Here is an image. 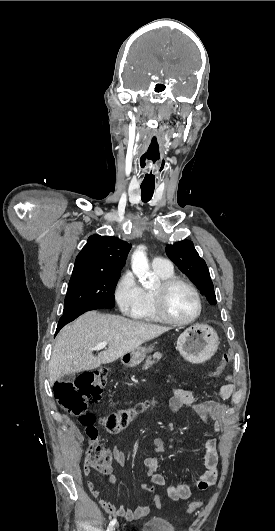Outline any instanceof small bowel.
<instances>
[{
	"instance_id": "obj_1",
	"label": "small bowel",
	"mask_w": 275,
	"mask_h": 531,
	"mask_svg": "<svg viewBox=\"0 0 275 531\" xmlns=\"http://www.w3.org/2000/svg\"><path fill=\"white\" fill-rule=\"evenodd\" d=\"M234 392V383L232 376H227L226 383L215 390V397L219 400L229 399ZM202 395L200 392L187 390L181 387H174L172 396L169 401V406L172 412L178 413L181 410L188 409L196 414L205 425L211 421L213 432L220 431L222 426V413L225 410V405L216 400L200 401ZM153 448L156 453H163L165 451V444L160 437L153 439ZM205 455V469L201 477L193 484L167 485L166 492L169 499L172 501L187 500L191 498L193 491H205L217 479L219 458L217 453V439L214 436H209L204 442ZM113 459L120 465H124L127 457L123 450L114 446L112 449ZM143 465L151 479L152 483L157 486L166 485L165 478L158 472V461L154 456H145L143 458ZM92 473L91 469L83 467V474L88 476ZM109 481L113 484L117 482L116 477L109 473ZM92 496L97 500L100 507L110 516L123 518L128 521L140 519L150 513V506L148 504H140L135 509L118 507L114 503L105 500L102 493L95 484V482L87 483Z\"/></svg>"
}]
</instances>
